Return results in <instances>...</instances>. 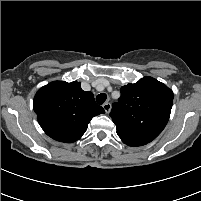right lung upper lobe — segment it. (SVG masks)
Listing matches in <instances>:
<instances>
[{
  "label": "right lung upper lobe",
  "mask_w": 201,
  "mask_h": 201,
  "mask_svg": "<svg viewBox=\"0 0 201 201\" xmlns=\"http://www.w3.org/2000/svg\"><path fill=\"white\" fill-rule=\"evenodd\" d=\"M80 82H51L38 90L34 111L44 132L54 140L72 143L85 133L90 120L105 113Z\"/></svg>",
  "instance_id": "obj_1"
}]
</instances>
